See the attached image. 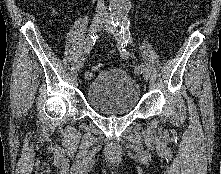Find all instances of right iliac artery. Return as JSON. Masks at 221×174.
Returning a JSON list of instances; mask_svg holds the SVG:
<instances>
[{"mask_svg": "<svg viewBox=\"0 0 221 174\" xmlns=\"http://www.w3.org/2000/svg\"><path fill=\"white\" fill-rule=\"evenodd\" d=\"M96 39H97V35H90L86 38L85 40V46H84V51L85 53H90L92 47L94 46L95 42H96ZM84 77L86 80H90L92 79L93 77V72L91 70H87L84 74Z\"/></svg>", "mask_w": 221, "mask_h": 174, "instance_id": "obj_1", "label": "right iliac artery"}]
</instances>
